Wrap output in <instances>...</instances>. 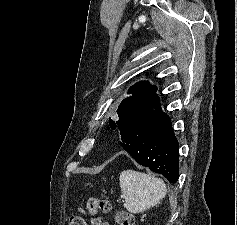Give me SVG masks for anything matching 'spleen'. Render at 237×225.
Segmentation results:
<instances>
[{"instance_id": "1", "label": "spleen", "mask_w": 237, "mask_h": 225, "mask_svg": "<svg viewBox=\"0 0 237 225\" xmlns=\"http://www.w3.org/2000/svg\"><path fill=\"white\" fill-rule=\"evenodd\" d=\"M120 187L124 207L134 214L154 207L167 193L162 179L135 170L121 172Z\"/></svg>"}]
</instances>
